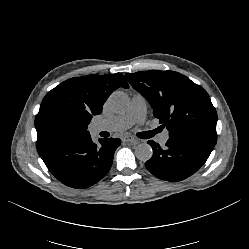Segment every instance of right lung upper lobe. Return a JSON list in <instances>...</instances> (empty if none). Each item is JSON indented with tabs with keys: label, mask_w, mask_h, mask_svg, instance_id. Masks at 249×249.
Segmentation results:
<instances>
[{
	"label": "right lung upper lobe",
	"mask_w": 249,
	"mask_h": 249,
	"mask_svg": "<svg viewBox=\"0 0 249 249\" xmlns=\"http://www.w3.org/2000/svg\"><path fill=\"white\" fill-rule=\"evenodd\" d=\"M119 87L129 88L121 73L92 74L68 79L49 91L35 118L38 153L41 154L61 141L88 134L87 126L93 115L102 112L106 99ZM56 115L74 117L86 129L80 128L74 135L60 133L54 127Z\"/></svg>",
	"instance_id": "cb5924a9"
}]
</instances>
